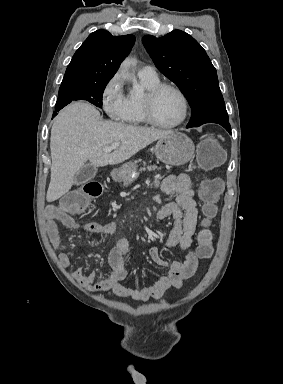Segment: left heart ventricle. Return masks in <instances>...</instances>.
<instances>
[{
	"instance_id": "1",
	"label": "left heart ventricle",
	"mask_w": 283,
	"mask_h": 384,
	"mask_svg": "<svg viewBox=\"0 0 283 384\" xmlns=\"http://www.w3.org/2000/svg\"><path fill=\"white\" fill-rule=\"evenodd\" d=\"M153 115L162 124H172L182 115V102L171 90H164L153 101Z\"/></svg>"
}]
</instances>
